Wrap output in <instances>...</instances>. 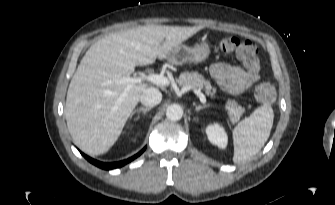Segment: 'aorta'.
I'll return each instance as SVG.
<instances>
[{
	"label": "aorta",
	"mask_w": 335,
	"mask_h": 205,
	"mask_svg": "<svg viewBox=\"0 0 335 205\" xmlns=\"http://www.w3.org/2000/svg\"><path fill=\"white\" fill-rule=\"evenodd\" d=\"M166 116L173 121L180 120L183 116V109L179 104H171L166 109Z\"/></svg>",
	"instance_id": "1"
}]
</instances>
